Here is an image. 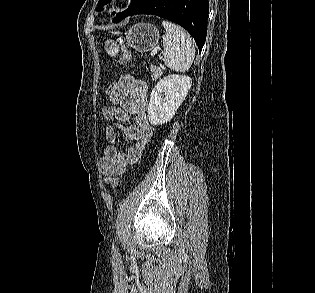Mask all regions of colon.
<instances>
[{"instance_id":"obj_1","label":"colon","mask_w":315,"mask_h":293,"mask_svg":"<svg viewBox=\"0 0 315 293\" xmlns=\"http://www.w3.org/2000/svg\"><path fill=\"white\" fill-rule=\"evenodd\" d=\"M118 43L121 46V56H120V63L124 66L127 65L129 59H130V53L126 46L124 45L123 39L118 38ZM110 84L108 88L106 89V94L108 95L109 93L112 92H117L118 91V84H119V79L118 78H111L110 79ZM106 183L113 189H118L121 183V177L119 175H112L109 178L106 179Z\"/></svg>"}]
</instances>
